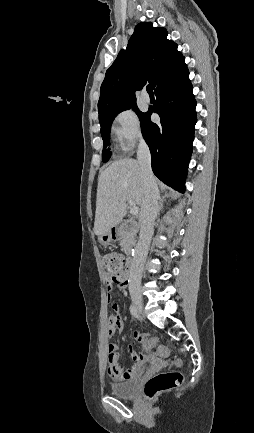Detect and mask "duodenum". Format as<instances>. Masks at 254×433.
Instances as JSON below:
<instances>
[{"label": "duodenum", "instance_id": "410a0bca", "mask_svg": "<svg viewBox=\"0 0 254 433\" xmlns=\"http://www.w3.org/2000/svg\"><path fill=\"white\" fill-rule=\"evenodd\" d=\"M123 225H130V223L129 222H125V223H123ZM120 231H121V224L117 225V226H114L112 228V230H111L112 237L113 238H117L119 236ZM126 265H127L128 269H129V272L131 273L132 270H133V266H134V260H133V258L130 255L128 256V258L126 260Z\"/></svg>", "mask_w": 254, "mask_h": 433}]
</instances>
